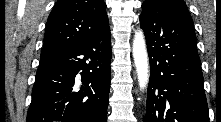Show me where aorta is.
I'll use <instances>...</instances> for the list:
<instances>
[{"instance_id": "762f6f07", "label": "aorta", "mask_w": 221, "mask_h": 122, "mask_svg": "<svg viewBox=\"0 0 221 122\" xmlns=\"http://www.w3.org/2000/svg\"><path fill=\"white\" fill-rule=\"evenodd\" d=\"M133 57L136 67L138 83L141 90H144L149 80V63L146 43L142 31H137L133 40Z\"/></svg>"}]
</instances>
